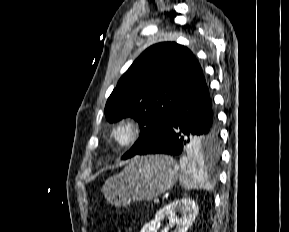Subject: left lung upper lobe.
Returning a JSON list of instances; mask_svg holds the SVG:
<instances>
[{"label":"left lung upper lobe","mask_w":289,"mask_h":232,"mask_svg":"<svg viewBox=\"0 0 289 232\" xmlns=\"http://www.w3.org/2000/svg\"><path fill=\"white\" fill-rule=\"evenodd\" d=\"M201 74L193 53L174 42L155 44L133 62L105 106L109 122L130 116L140 125V137L123 159L134 156L165 129L179 101ZM194 148L215 153L218 137L210 145L198 142Z\"/></svg>","instance_id":"obj_1"}]
</instances>
